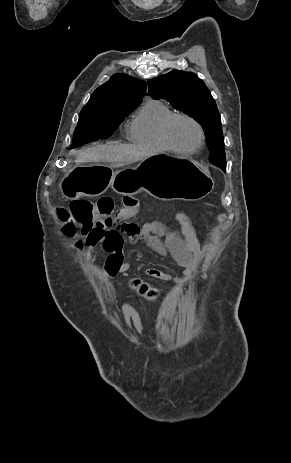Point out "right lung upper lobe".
Segmentation results:
<instances>
[{"label": "right lung upper lobe", "mask_w": 291, "mask_h": 463, "mask_svg": "<svg viewBox=\"0 0 291 463\" xmlns=\"http://www.w3.org/2000/svg\"><path fill=\"white\" fill-rule=\"evenodd\" d=\"M146 83L125 74H115L98 87L82 109L101 106L127 107L139 104L145 94Z\"/></svg>", "instance_id": "cb5924a9"}]
</instances>
